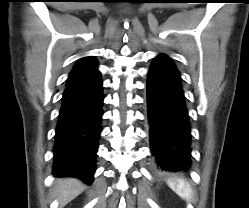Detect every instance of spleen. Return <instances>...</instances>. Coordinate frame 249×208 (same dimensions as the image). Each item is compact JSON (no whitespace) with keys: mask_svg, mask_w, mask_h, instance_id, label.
<instances>
[{"mask_svg":"<svg viewBox=\"0 0 249 208\" xmlns=\"http://www.w3.org/2000/svg\"><path fill=\"white\" fill-rule=\"evenodd\" d=\"M169 187L182 199L189 201L192 197V189L184 179H170Z\"/></svg>","mask_w":249,"mask_h":208,"instance_id":"spleen-1","label":"spleen"}]
</instances>
